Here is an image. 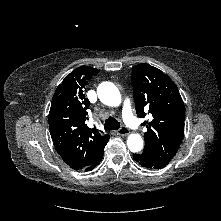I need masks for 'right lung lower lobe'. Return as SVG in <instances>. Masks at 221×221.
I'll return each mask as SVG.
<instances>
[{"instance_id":"right-lung-lower-lobe-1","label":"right lung lower lobe","mask_w":221,"mask_h":221,"mask_svg":"<svg viewBox=\"0 0 221 221\" xmlns=\"http://www.w3.org/2000/svg\"><path fill=\"white\" fill-rule=\"evenodd\" d=\"M103 153H104V149L101 151V153L99 154V156L97 157V159L90 165L88 166L85 171H88V170H92L94 167H96L100 161L102 160V157H103Z\"/></svg>"}]
</instances>
